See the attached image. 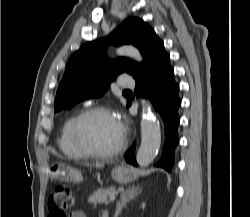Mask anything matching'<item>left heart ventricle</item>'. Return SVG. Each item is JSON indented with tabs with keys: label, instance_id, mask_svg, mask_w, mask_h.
I'll return each instance as SVG.
<instances>
[{
	"label": "left heart ventricle",
	"instance_id": "b2bd125f",
	"mask_svg": "<svg viewBox=\"0 0 250 217\" xmlns=\"http://www.w3.org/2000/svg\"><path fill=\"white\" fill-rule=\"evenodd\" d=\"M81 136L92 149L109 151L120 143L122 128L119 121L111 115L93 114L82 122Z\"/></svg>",
	"mask_w": 250,
	"mask_h": 217
}]
</instances>
